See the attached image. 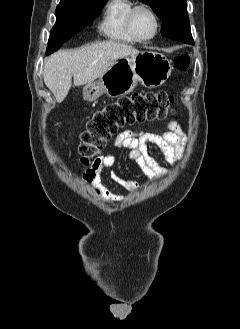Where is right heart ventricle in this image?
<instances>
[{
  "mask_svg": "<svg viewBox=\"0 0 240 329\" xmlns=\"http://www.w3.org/2000/svg\"><path fill=\"white\" fill-rule=\"evenodd\" d=\"M135 5L133 0H110L100 22V30L111 40L124 43L135 42L136 40L127 28L129 12Z\"/></svg>",
  "mask_w": 240,
  "mask_h": 329,
  "instance_id": "1",
  "label": "right heart ventricle"
}]
</instances>
